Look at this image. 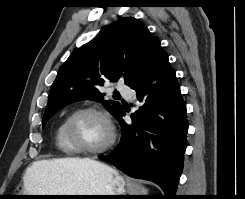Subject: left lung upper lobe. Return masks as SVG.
Returning <instances> with one entry per match:
<instances>
[{
  "label": "left lung upper lobe",
  "mask_w": 245,
  "mask_h": 199,
  "mask_svg": "<svg viewBox=\"0 0 245 199\" xmlns=\"http://www.w3.org/2000/svg\"><path fill=\"white\" fill-rule=\"evenodd\" d=\"M161 50L159 39L133 17L121 18L107 26L96 38L75 50L60 67L42 126L61 108L87 99L102 101L117 118L123 106L117 101L103 100L99 87L120 78L131 86L146 73Z\"/></svg>",
  "instance_id": "obj_1"
}]
</instances>
